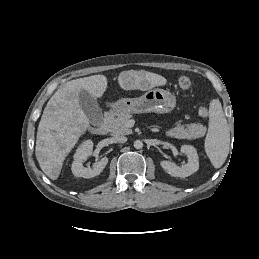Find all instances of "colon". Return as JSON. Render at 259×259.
<instances>
[{"mask_svg":"<svg viewBox=\"0 0 259 259\" xmlns=\"http://www.w3.org/2000/svg\"><path fill=\"white\" fill-rule=\"evenodd\" d=\"M191 80L187 76H181L178 79V86L183 89L187 90L191 87ZM198 113L201 117H207L209 115V108L206 105L200 106Z\"/></svg>","mask_w":259,"mask_h":259,"instance_id":"colon-1","label":"colon"}]
</instances>
